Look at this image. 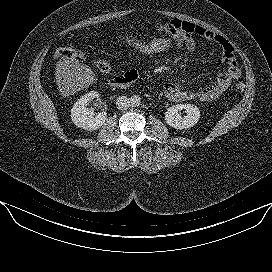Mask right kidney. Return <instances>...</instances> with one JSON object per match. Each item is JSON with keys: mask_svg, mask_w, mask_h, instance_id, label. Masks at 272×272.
<instances>
[{"mask_svg": "<svg viewBox=\"0 0 272 272\" xmlns=\"http://www.w3.org/2000/svg\"><path fill=\"white\" fill-rule=\"evenodd\" d=\"M99 98L97 91H90L76 101L71 109V119L78 127L88 131L99 129L107 118V113L101 112L95 116L94 110L87 105L93 99Z\"/></svg>", "mask_w": 272, "mask_h": 272, "instance_id": "1", "label": "right kidney"}]
</instances>
